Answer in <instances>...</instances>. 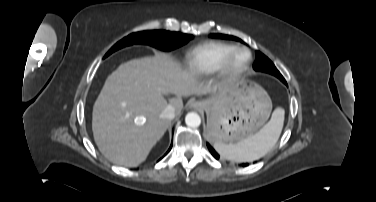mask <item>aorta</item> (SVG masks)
Returning a JSON list of instances; mask_svg holds the SVG:
<instances>
[{
    "label": "aorta",
    "mask_w": 376,
    "mask_h": 202,
    "mask_svg": "<svg viewBox=\"0 0 376 202\" xmlns=\"http://www.w3.org/2000/svg\"><path fill=\"white\" fill-rule=\"evenodd\" d=\"M185 123L189 127H193V128L198 127L201 124V117L199 116V114L195 112H189L185 116Z\"/></svg>",
    "instance_id": "1"
}]
</instances>
